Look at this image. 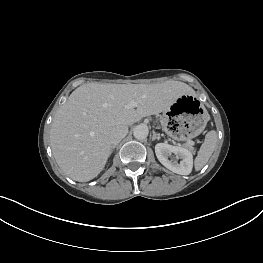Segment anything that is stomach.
<instances>
[{
  "instance_id": "1",
  "label": "stomach",
  "mask_w": 263,
  "mask_h": 263,
  "mask_svg": "<svg viewBox=\"0 0 263 263\" xmlns=\"http://www.w3.org/2000/svg\"><path fill=\"white\" fill-rule=\"evenodd\" d=\"M209 120L202 104L192 95H182L160 116L162 129L180 140L200 134Z\"/></svg>"
}]
</instances>
